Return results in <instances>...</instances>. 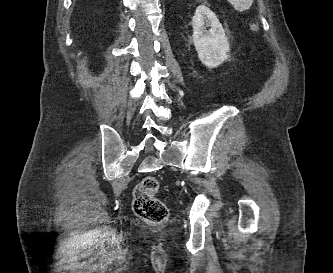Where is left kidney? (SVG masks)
Returning a JSON list of instances; mask_svg holds the SVG:
<instances>
[{
  "instance_id": "left-kidney-1",
  "label": "left kidney",
  "mask_w": 333,
  "mask_h": 273,
  "mask_svg": "<svg viewBox=\"0 0 333 273\" xmlns=\"http://www.w3.org/2000/svg\"><path fill=\"white\" fill-rule=\"evenodd\" d=\"M193 43L200 61L208 68H215L228 59V38L215 13L206 5H199L192 19ZM207 27H211L207 30Z\"/></svg>"
}]
</instances>
